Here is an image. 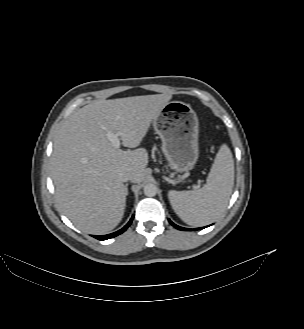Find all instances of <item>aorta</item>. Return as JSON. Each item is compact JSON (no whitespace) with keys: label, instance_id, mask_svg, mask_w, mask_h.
<instances>
[{"label":"aorta","instance_id":"1","mask_svg":"<svg viewBox=\"0 0 304 329\" xmlns=\"http://www.w3.org/2000/svg\"><path fill=\"white\" fill-rule=\"evenodd\" d=\"M144 194L148 197H154L157 194V187L154 184H146L144 186Z\"/></svg>","mask_w":304,"mask_h":329}]
</instances>
